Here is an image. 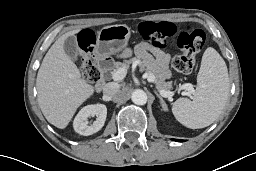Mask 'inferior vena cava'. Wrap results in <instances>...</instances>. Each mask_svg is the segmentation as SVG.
Wrapping results in <instances>:
<instances>
[{"instance_id":"inferior-vena-cava-1","label":"inferior vena cava","mask_w":256,"mask_h":171,"mask_svg":"<svg viewBox=\"0 0 256 171\" xmlns=\"http://www.w3.org/2000/svg\"><path fill=\"white\" fill-rule=\"evenodd\" d=\"M119 91V85L114 82L107 83L103 88V94L106 98H113Z\"/></svg>"}]
</instances>
